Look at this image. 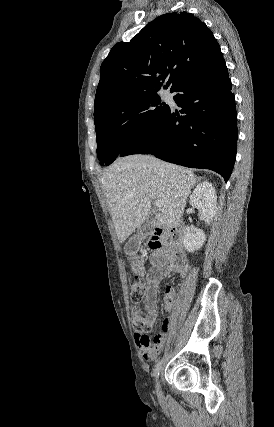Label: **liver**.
<instances>
[{
  "mask_svg": "<svg viewBox=\"0 0 274 427\" xmlns=\"http://www.w3.org/2000/svg\"><path fill=\"white\" fill-rule=\"evenodd\" d=\"M108 208L119 241L140 227L151 210L152 200L162 202L158 225L176 227L197 176L182 166L161 162L153 156L118 158L101 176Z\"/></svg>",
  "mask_w": 274,
  "mask_h": 427,
  "instance_id": "6515ba94",
  "label": "liver"
}]
</instances>
